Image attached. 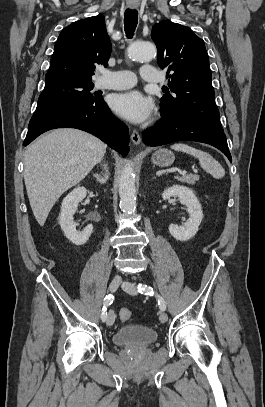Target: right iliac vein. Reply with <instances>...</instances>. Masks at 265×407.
<instances>
[{"label":"right iliac vein","instance_id":"right-iliac-vein-1","mask_svg":"<svg viewBox=\"0 0 265 407\" xmlns=\"http://www.w3.org/2000/svg\"><path fill=\"white\" fill-rule=\"evenodd\" d=\"M120 283H121L120 278H118V277L113 278L112 281L109 284V290L111 292H115L117 290V288L119 287ZM114 321H115V315H114V313L112 311H110L108 313L107 319H106L107 326L113 325Z\"/></svg>","mask_w":265,"mask_h":407}]
</instances>
